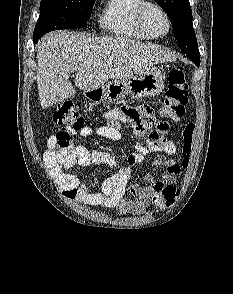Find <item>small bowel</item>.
<instances>
[{
  "label": "small bowel",
  "mask_w": 233,
  "mask_h": 294,
  "mask_svg": "<svg viewBox=\"0 0 233 294\" xmlns=\"http://www.w3.org/2000/svg\"><path fill=\"white\" fill-rule=\"evenodd\" d=\"M157 113L158 108H153V104L149 103L136 104V108H115L103 115L106 123L95 130L89 126H84L79 131L69 130L70 134L78 133L82 137L96 135L120 141L122 139L120 129H124V125L133 126L134 129H129L132 137H149L146 144L134 145L135 152H125L124 156H113L103 149H87L72 144L58 149L56 135H52L47 140V149L44 153L45 165L69 198L89 206L115 209L119 214H142L158 192L167 186L175 185L181 171L176 161L158 155L152 164L165 168L162 179L156 181L147 175L143 185L135 184L131 187L133 198L125 197L133 165L143 162L149 152L165 154L176 152L174 142L166 136L167 131H170L169 120H158V123H154ZM117 161H125V163H117ZM75 165L82 167L106 165L120 169L104 181L99 191L91 192L87 186L81 184L75 174L68 172Z\"/></svg>",
  "instance_id": "c3829d8e"
}]
</instances>
